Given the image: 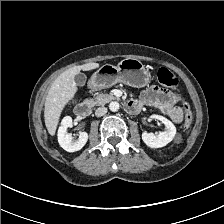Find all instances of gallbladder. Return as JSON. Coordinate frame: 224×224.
<instances>
[{
	"instance_id": "bac80fb5",
	"label": "gallbladder",
	"mask_w": 224,
	"mask_h": 224,
	"mask_svg": "<svg viewBox=\"0 0 224 224\" xmlns=\"http://www.w3.org/2000/svg\"><path fill=\"white\" fill-rule=\"evenodd\" d=\"M74 79H75L76 85L79 87H82L85 85L87 77L84 73H78Z\"/></svg>"
}]
</instances>
